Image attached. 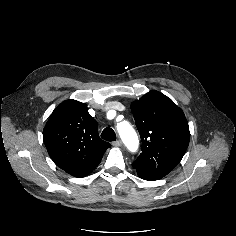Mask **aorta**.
<instances>
[{"instance_id": "762f6f07", "label": "aorta", "mask_w": 236, "mask_h": 236, "mask_svg": "<svg viewBox=\"0 0 236 236\" xmlns=\"http://www.w3.org/2000/svg\"><path fill=\"white\" fill-rule=\"evenodd\" d=\"M118 132L124 144L127 146V148L130 151L135 152L138 148V138L136 132L129 125V123L125 122L123 124H119Z\"/></svg>"}]
</instances>
